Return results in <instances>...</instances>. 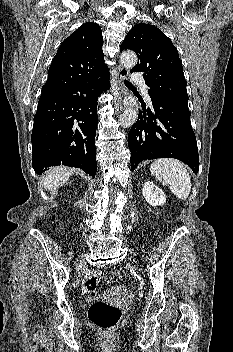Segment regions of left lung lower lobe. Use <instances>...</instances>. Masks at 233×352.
Wrapping results in <instances>:
<instances>
[{
	"label": "left lung lower lobe",
	"instance_id": "obj_1",
	"mask_svg": "<svg viewBox=\"0 0 233 352\" xmlns=\"http://www.w3.org/2000/svg\"><path fill=\"white\" fill-rule=\"evenodd\" d=\"M152 106H143L128 134L131 171L143 160L176 158L194 173L199 170L197 141L188 108L149 93Z\"/></svg>",
	"mask_w": 233,
	"mask_h": 352
}]
</instances>
